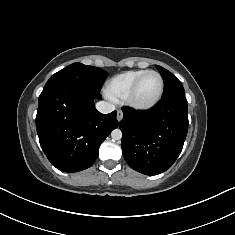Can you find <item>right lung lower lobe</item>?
Instances as JSON below:
<instances>
[{
    "instance_id": "98d812e1",
    "label": "right lung lower lobe",
    "mask_w": 235,
    "mask_h": 235,
    "mask_svg": "<svg viewBox=\"0 0 235 235\" xmlns=\"http://www.w3.org/2000/svg\"><path fill=\"white\" fill-rule=\"evenodd\" d=\"M97 91L76 84L44 88L39 96L36 128L48 160L64 172L89 168L101 143L118 127L116 111L101 114Z\"/></svg>"
}]
</instances>
